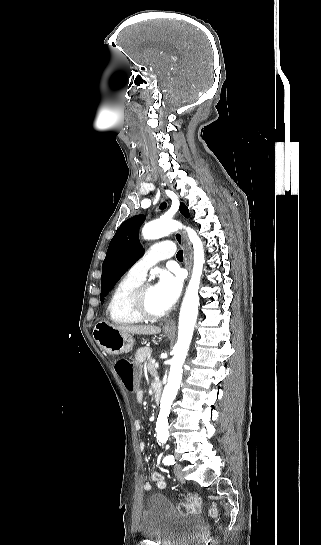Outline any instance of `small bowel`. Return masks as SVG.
Wrapping results in <instances>:
<instances>
[{
  "label": "small bowel",
  "mask_w": 321,
  "mask_h": 545,
  "mask_svg": "<svg viewBox=\"0 0 321 545\" xmlns=\"http://www.w3.org/2000/svg\"><path fill=\"white\" fill-rule=\"evenodd\" d=\"M136 400H137V402H139V403L143 402V400H144L143 391L138 390V391L136 392ZM135 428H136V430H140V429H141V423H140L139 421H136V422H135ZM139 448H140L141 451H144L145 448H146V443L143 442V441L140 442V443H139ZM151 480H152L153 482L156 483V486H157L159 489H163V488H165V486H166V482H165L164 477L162 476L161 473H159V472H157V471H153V472L151 473ZM143 489H144L145 491H150V490L152 489V484L149 483V482L144 483Z\"/></svg>",
  "instance_id": "obj_1"
}]
</instances>
